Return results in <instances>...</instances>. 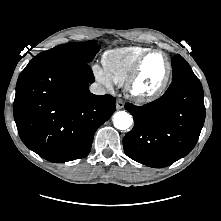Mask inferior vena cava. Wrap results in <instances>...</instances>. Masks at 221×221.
I'll return each instance as SVG.
<instances>
[{
    "label": "inferior vena cava",
    "instance_id": "1",
    "mask_svg": "<svg viewBox=\"0 0 221 221\" xmlns=\"http://www.w3.org/2000/svg\"><path fill=\"white\" fill-rule=\"evenodd\" d=\"M89 90L91 93L95 95H105L106 94V89L98 84V83H93L90 85Z\"/></svg>",
    "mask_w": 221,
    "mask_h": 221
}]
</instances>
